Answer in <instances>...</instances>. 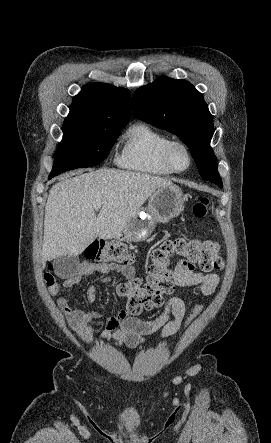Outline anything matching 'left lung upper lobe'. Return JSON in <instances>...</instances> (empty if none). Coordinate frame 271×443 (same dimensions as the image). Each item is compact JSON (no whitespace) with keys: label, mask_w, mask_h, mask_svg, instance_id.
<instances>
[{"label":"left lung upper lobe","mask_w":271,"mask_h":443,"mask_svg":"<svg viewBox=\"0 0 271 443\" xmlns=\"http://www.w3.org/2000/svg\"><path fill=\"white\" fill-rule=\"evenodd\" d=\"M132 100L133 113L139 119L179 136L190 148L201 177L222 187L210 147L213 117L203 95L191 83L160 77L137 89Z\"/></svg>","instance_id":"5c2ea615"}]
</instances>
